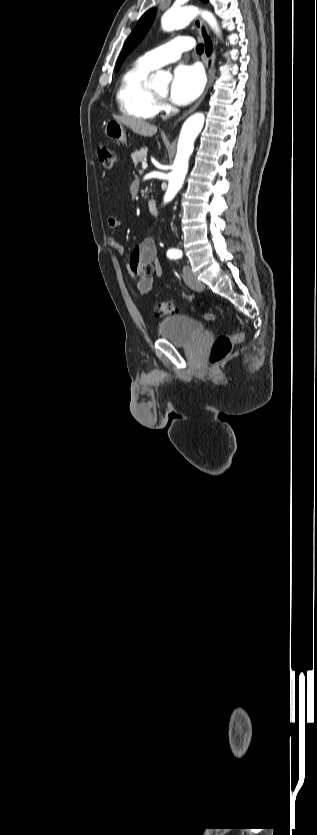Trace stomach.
<instances>
[{"mask_svg":"<svg viewBox=\"0 0 317 835\" xmlns=\"http://www.w3.org/2000/svg\"><path fill=\"white\" fill-rule=\"evenodd\" d=\"M105 135L113 141L126 143L124 125L115 120H109L105 126Z\"/></svg>","mask_w":317,"mask_h":835,"instance_id":"obj_1","label":"stomach"}]
</instances>
